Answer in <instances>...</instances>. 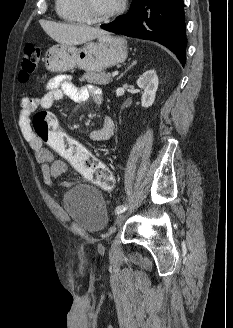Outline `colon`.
<instances>
[{"label": "colon", "mask_w": 233, "mask_h": 328, "mask_svg": "<svg viewBox=\"0 0 233 328\" xmlns=\"http://www.w3.org/2000/svg\"><path fill=\"white\" fill-rule=\"evenodd\" d=\"M40 49L33 44L24 47L19 80L26 82L37 69ZM35 136L68 161L84 177L104 191H112L115 180L110 169L82 144L61 130L56 117L48 111H39L33 117Z\"/></svg>", "instance_id": "obj_1"}]
</instances>
